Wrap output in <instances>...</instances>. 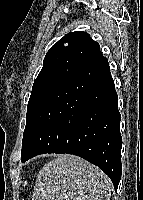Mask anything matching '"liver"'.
<instances>
[{"label":"liver","mask_w":143,"mask_h":200,"mask_svg":"<svg viewBox=\"0 0 143 200\" xmlns=\"http://www.w3.org/2000/svg\"><path fill=\"white\" fill-rule=\"evenodd\" d=\"M111 191L110 179L98 167L61 154L39 171L32 200H110Z\"/></svg>","instance_id":"obj_1"}]
</instances>
